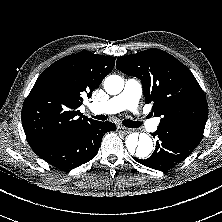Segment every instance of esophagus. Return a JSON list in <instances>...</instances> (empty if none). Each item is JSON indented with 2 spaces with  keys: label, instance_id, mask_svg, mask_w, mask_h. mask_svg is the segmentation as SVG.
Wrapping results in <instances>:
<instances>
[{
  "label": "esophagus",
  "instance_id": "obj_1",
  "mask_svg": "<svg viewBox=\"0 0 222 222\" xmlns=\"http://www.w3.org/2000/svg\"><path fill=\"white\" fill-rule=\"evenodd\" d=\"M117 130H118V132L124 133V134H128V133L132 132L131 129H128V128L124 127V126H118Z\"/></svg>",
  "mask_w": 222,
  "mask_h": 222
}]
</instances>
